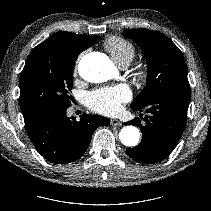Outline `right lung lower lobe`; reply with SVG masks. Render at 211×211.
Wrapping results in <instances>:
<instances>
[{
	"label": "right lung lower lobe",
	"mask_w": 211,
	"mask_h": 211,
	"mask_svg": "<svg viewBox=\"0 0 211 211\" xmlns=\"http://www.w3.org/2000/svg\"><path fill=\"white\" fill-rule=\"evenodd\" d=\"M67 108L51 107L24 118L26 131L37 151L48 161L67 164L87 150L94 130L108 126V118L83 114L80 121L66 116Z\"/></svg>",
	"instance_id": "right-lung-lower-lobe-1"
}]
</instances>
